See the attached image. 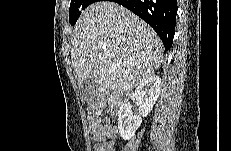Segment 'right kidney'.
<instances>
[{
	"label": "right kidney",
	"mask_w": 231,
	"mask_h": 151,
	"mask_svg": "<svg viewBox=\"0 0 231 151\" xmlns=\"http://www.w3.org/2000/svg\"><path fill=\"white\" fill-rule=\"evenodd\" d=\"M161 91V79L152 75L142 81L136 88L132 98L138 106V115H134L129 104H122L118 115V129L124 140H130L146 117L152 110Z\"/></svg>",
	"instance_id": "obj_1"
}]
</instances>
